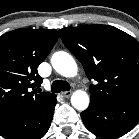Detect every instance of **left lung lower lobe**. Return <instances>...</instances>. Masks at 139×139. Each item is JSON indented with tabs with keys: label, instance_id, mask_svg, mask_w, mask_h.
Returning a JSON list of instances; mask_svg holds the SVG:
<instances>
[{
	"label": "left lung lower lobe",
	"instance_id": "left-lung-lower-lobe-1",
	"mask_svg": "<svg viewBox=\"0 0 139 139\" xmlns=\"http://www.w3.org/2000/svg\"><path fill=\"white\" fill-rule=\"evenodd\" d=\"M81 118L86 128L99 137H121L139 122V98L107 105L90 100Z\"/></svg>",
	"mask_w": 139,
	"mask_h": 139
}]
</instances>
